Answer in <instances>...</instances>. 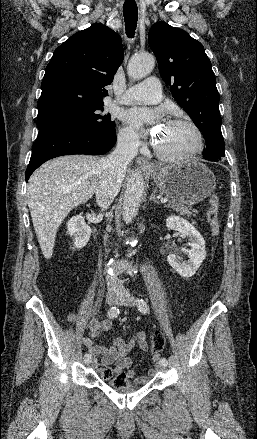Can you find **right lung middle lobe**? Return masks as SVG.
Masks as SVG:
<instances>
[{
	"label": "right lung middle lobe",
	"mask_w": 257,
	"mask_h": 439,
	"mask_svg": "<svg viewBox=\"0 0 257 439\" xmlns=\"http://www.w3.org/2000/svg\"><path fill=\"white\" fill-rule=\"evenodd\" d=\"M104 104L77 109L51 117L38 119V129L54 124H75L103 133L115 134V122L111 121L110 114L102 115Z\"/></svg>",
	"instance_id": "1"
}]
</instances>
